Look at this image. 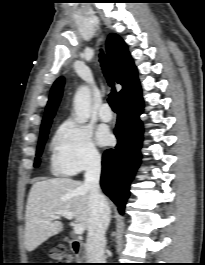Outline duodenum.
Listing matches in <instances>:
<instances>
[{"label":"duodenum","instance_id":"1","mask_svg":"<svg viewBox=\"0 0 205 265\" xmlns=\"http://www.w3.org/2000/svg\"><path fill=\"white\" fill-rule=\"evenodd\" d=\"M70 249L76 256L79 262H85L86 260V247L84 243L78 239H67Z\"/></svg>","mask_w":205,"mask_h":265}]
</instances>
